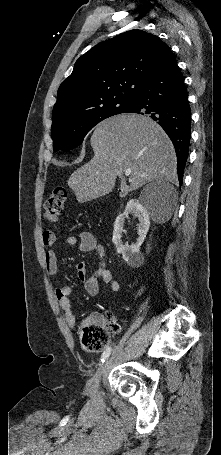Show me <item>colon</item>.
Listing matches in <instances>:
<instances>
[{
  "label": "colon",
  "instance_id": "1",
  "mask_svg": "<svg viewBox=\"0 0 221 455\" xmlns=\"http://www.w3.org/2000/svg\"><path fill=\"white\" fill-rule=\"evenodd\" d=\"M67 193L62 187L55 188L48 196L43 205L45 218L50 222H56L61 216ZM120 327L117 321L108 315L105 321L96 317H88L81 323V343L84 350L100 352L108 344L110 334H115Z\"/></svg>",
  "mask_w": 221,
  "mask_h": 455
}]
</instances>
